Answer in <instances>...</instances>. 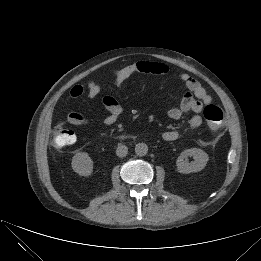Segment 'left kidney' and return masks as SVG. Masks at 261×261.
Here are the masks:
<instances>
[{
    "label": "left kidney",
    "instance_id": "obj_1",
    "mask_svg": "<svg viewBox=\"0 0 261 261\" xmlns=\"http://www.w3.org/2000/svg\"><path fill=\"white\" fill-rule=\"evenodd\" d=\"M192 156L194 161L188 162L187 157ZM209 160L208 154L199 148H191L184 150L177 158V170L183 174L199 172L205 168Z\"/></svg>",
    "mask_w": 261,
    "mask_h": 261
}]
</instances>
